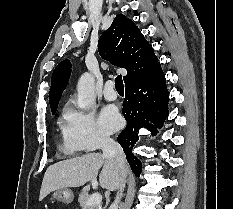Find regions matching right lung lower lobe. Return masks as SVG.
I'll use <instances>...</instances> for the list:
<instances>
[{
    "mask_svg": "<svg viewBox=\"0 0 233 209\" xmlns=\"http://www.w3.org/2000/svg\"><path fill=\"white\" fill-rule=\"evenodd\" d=\"M168 100L169 93L160 64L144 78L126 86L122 113L127 125L117 139L137 177L142 164L132 154V149L138 140V130L145 127L155 135L168 116Z\"/></svg>",
    "mask_w": 233,
    "mask_h": 209,
    "instance_id": "obj_1",
    "label": "right lung lower lobe"
}]
</instances>
